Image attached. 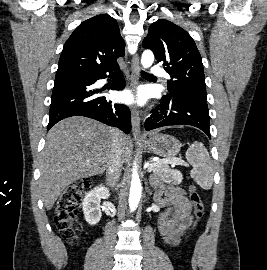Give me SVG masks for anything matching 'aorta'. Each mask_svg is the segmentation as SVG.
<instances>
[{
	"label": "aorta",
	"mask_w": 267,
	"mask_h": 270,
	"mask_svg": "<svg viewBox=\"0 0 267 270\" xmlns=\"http://www.w3.org/2000/svg\"><path fill=\"white\" fill-rule=\"evenodd\" d=\"M154 62V54L151 50H145L141 57V65L143 68H149ZM142 193V186L140 178L137 172V165L134 163L132 171V180L130 185V194H129V207L131 211H135L138 207Z\"/></svg>",
	"instance_id": "762f6f07"
}]
</instances>
